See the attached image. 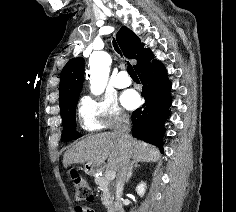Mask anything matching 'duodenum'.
I'll return each instance as SVG.
<instances>
[{"instance_id":"duodenum-1","label":"duodenum","mask_w":236,"mask_h":212,"mask_svg":"<svg viewBox=\"0 0 236 212\" xmlns=\"http://www.w3.org/2000/svg\"><path fill=\"white\" fill-rule=\"evenodd\" d=\"M108 212H124V207L121 203L113 204Z\"/></svg>"}]
</instances>
